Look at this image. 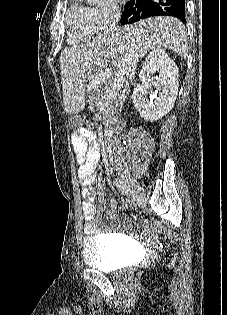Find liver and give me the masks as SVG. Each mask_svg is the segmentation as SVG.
<instances>
[{
    "label": "liver",
    "instance_id": "liver-1",
    "mask_svg": "<svg viewBox=\"0 0 227 315\" xmlns=\"http://www.w3.org/2000/svg\"><path fill=\"white\" fill-rule=\"evenodd\" d=\"M156 48L170 49L182 58L187 57L185 27L180 20L151 17L64 49L60 67L66 113L78 114L85 108V85L92 74L93 78H102L103 84L115 68L132 83L139 59Z\"/></svg>",
    "mask_w": 227,
    "mask_h": 315
}]
</instances>
